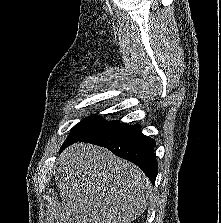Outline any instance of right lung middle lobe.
I'll use <instances>...</instances> for the list:
<instances>
[{"instance_id": "1", "label": "right lung middle lobe", "mask_w": 221, "mask_h": 223, "mask_svg": "<svg viewBox=\"0 0 221 223\" xmlns=\"http://www.w3.org/2000/svg\"><path fill=\"white\" fill-rule=\"evenodd\" d=\"M116 123V121H104L100 116L93 115L88 118L83 119L77 125H75L70 132L69 137L63 144L66 145L76 139L85 137L88 134L94 133L97 130L104 129L112 124ZM62 146V147H63Z\"/></svg>"}]
</instances>
